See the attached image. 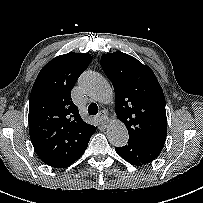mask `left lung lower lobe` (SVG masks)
Masks as SVG:
<instances>
[{
    "label": "left lung lower lobe",
    "mask_w": 203,
    "mask_h": 203,
    "mask_svg": "<svg viewBox=\"0 0 203 203\" xmlns=\"http://www.w3.org/2000/svg\"><path fill=\"white\" fill-rule=\"evenodd\" d=\"M116 152L135 166L146 165L155 160L160 151L147 147L137 141L129 140L123 147H116Z\"/></svg>",
    "instance_id": "obj_1"
}]
</instances>
